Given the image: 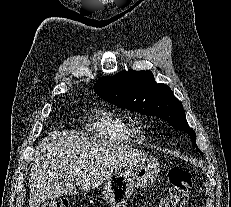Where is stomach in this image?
Returning a JSON list of instances; mask_svg holds the SVG:
<instances>
[{
    "instance_id": "obj_1",
    "label": "stomach",
    "mask_w": 231,
    "mask_h": 207,
    "mask_svg": "<svg viewBox=\"0 0 231 207\" xmlns=\"http://www.w3.org/2000/svg\"><path fill=\"white\" fill-rule=\"evenodd\" d=\"M159 172L160 164L154 157L135 158L129 162L126 171L116 172L105 181L102 199L109 207H122L135 190L152 184Z\"/></svg>"
}]
</instances>
